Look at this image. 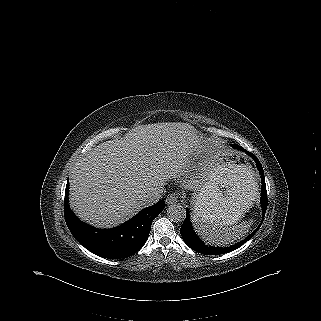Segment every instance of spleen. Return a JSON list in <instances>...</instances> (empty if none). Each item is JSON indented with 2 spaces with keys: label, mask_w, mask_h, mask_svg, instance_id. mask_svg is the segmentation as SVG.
<instances>
[{
  "label": "spleen",
  "mask_w": 321,
  "mask_h": 321,
  "mask_svg": "<svg viewBox=\"0 0 321 321\" xmlns=\"http://www.w3.org/2000/svg\"><path fill=\"white\" fill-rule=\"evenodd\" d=\"M195 229L202 239L210 245L225 246L236 242L249 232L250 221L229 226L217 214H206L204 218L194 217Z\"/></svg>",
  "instance_id": "1"
}]
</instances>
